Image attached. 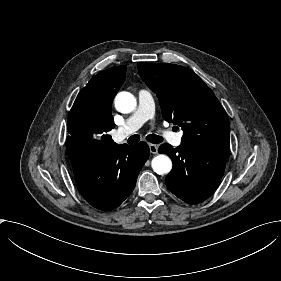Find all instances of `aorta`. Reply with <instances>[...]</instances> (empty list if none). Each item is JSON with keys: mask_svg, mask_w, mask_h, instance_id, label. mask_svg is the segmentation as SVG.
<instances>
[{"mask_svg": "<svg viewBox=\"0 0 281 281\" xmlns=\"http://www.w3.org/2000/svg\"><path fill=\"white\" fill-rule=\"evenodd\" d=\"M136 105V98L129 92L122 91L115 97V108L120 113H130ZM151 166L157 174H168L172 169V161L167 155L159 154L152 159Z\"/></svg>", "mask_w": 281, "mask_h": 281, "instance_id": "obj_1", "label": "aorta"}]
</instances>
